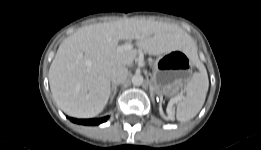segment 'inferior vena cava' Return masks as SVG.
Here are the masks:
<instances>
[{
    "mask_svg": "<svg viewBox=\"0 0 261 150\" xmlns=\"http://www.w3.org/2000/svg\"><path fill=\"white\" fill-rule=\"evenodd\" d=\"M128 76V69L125 66L113 67L110 73V78L113 84L123 83Z\"/></svg>",
    "mask_w": 261,
    "mask_h": 150,
    "instance_id": "1",
    "label": "inferior vena cava"
}]
</instances>
